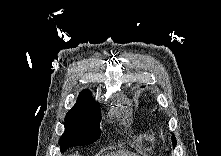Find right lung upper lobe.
Wrapping results in <instances>:
<instances>
[{
    "instance_id": "right-lung-upper-lobe-1",
    "label": "right lung upper lobe",
    "mask_w": 221,
    "mask_h": 156,
    "mask_svg": "<svg viewBox=\"0 0 221 156\" xmlns=\"http://www.w3.org/2000/svg\"><path fill=\"white\" fill-rule=\"evenodd\" d=\"M91 92L84 90L79 94L77 103L74 107H95L100 106L94 99H92Z\"/></svg>"
}]
</instances>
